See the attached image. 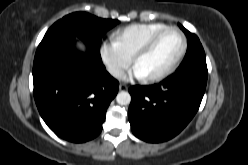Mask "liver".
I'll use <instances>...</instances> for the list:
<instances>
[{
  "instance_id": "obj_1",
  "label": "liver",
  "mask_w": 248,
  "mask_h": 165,
  "mask_svg": "<svg viewBox=\"0 0 248 165\" xmlns=\"http://www.w3.org/2000/svg\"><path fill=\"white\" fill-rule=\"evenodd\" d=\"M78 47L81 50H85V48H86L85 44L83 42H81V41H78Z\"/></svg>"
}]
</instances>
